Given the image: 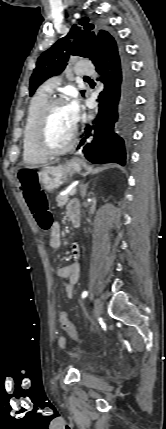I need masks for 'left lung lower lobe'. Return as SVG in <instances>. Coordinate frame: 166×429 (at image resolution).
I'll list each match as a JSON object with an SVG mask.
<instances>
[{"instance_id":"obj_1","label":"left lung lower lobe","mask_w":166,"mask_h":429,"mask_svg":"<svg viewBox=\"0 0 166 429\" xmlns=\"http://www.w3.org/2000/svg\"><path fill=\"white\" fill-rule=\"evenodd\" d=\"M102 74L104 89L99 95V112L94 125H87L78 148L92 163L115 162L125 165V146L131 137L135 108V87L131 66L122 45L117 41L99 42L92 60Z\"/></svg>"}]
</instances>
